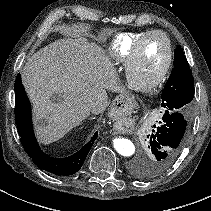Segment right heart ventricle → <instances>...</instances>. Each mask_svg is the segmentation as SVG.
I'll list each match as a JSON object with an SVG mask.
<instances>
[{
  "instance_id": "1",
  "label": "right heart ventricle",
  "mask_w": 211,
  "mask_h": 211,
  "mask_svg": "<svg viewBox=\"0 0 211 211\" xmlns=\"http://www.w3.org/2000/svg\"><path fill=\"white\" fill-rule=\"evenodd\" d=\"M148 31L124 32L118 34L109 46V54L117 63L125 65L137 40Z\"/></svg>"
}]
</instances>
